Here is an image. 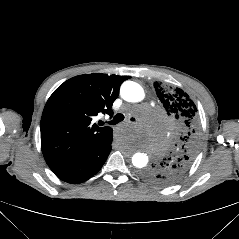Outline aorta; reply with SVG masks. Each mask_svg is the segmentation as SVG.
Listing matches in <instances>:
<instances>
[{"label":"aorta","instance_id":"obj_1","mask_svg":"<svg viewBox=\"0 0 239 239\" xmlns=\"http://www.w3.org/2000/svg\"><path fill=\"white\" fill-rule=\"evenodd\" d=\"M121 97L128 102H139L144 98L143 88L133 81H125L121 86ZM152 150L135 151L132 156V164L136 168H144L148 165Z\"/></svg>","mask_w":239,"mask_h":239}]
</instances>
